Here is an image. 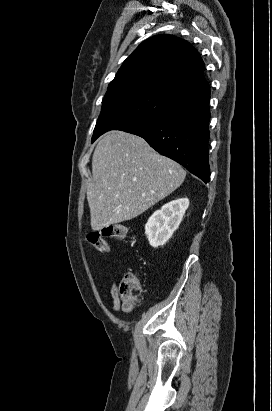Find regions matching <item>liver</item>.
Instances as JSON below:
<instances>
[{
    "label": "liver",
    "mask_w": 272,
    "mask_h": 411,
    "mask_svg": "<svg viewBox=\"0 0 272 411\" xmlns=\"http://www.w3.org/2000/svg\"><path fill=\"white\" fill-rule=\"evenodd\" d=\"M185 176L177 162L155 152L143 138L107 132L93 153L87 189L92 230L139 216L176 190Z\"/></svg>",
    "instance_id": "obj_1"
}]
</instances>
